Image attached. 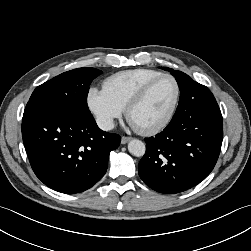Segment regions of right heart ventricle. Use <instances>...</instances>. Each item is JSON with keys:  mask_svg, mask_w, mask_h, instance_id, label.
Returning <instances> with one entry per match:
<instances>
[{"mask_svg": "<svg viewBox=\"0 0 251 251\" xmlns=\"http://www.w3.org/2000/svg\"><path fill=\"white\" fill-rule=\"evenodd\" d=\"M160 74L162 72L144 68L121 71L106 78L103 89L125 109L138 90Z\"/></svg>", "mask_w": 251, "mask_h": 251, "instance_id": "1", "label": "right heart ventricle"}]
</instances>
